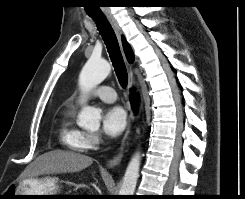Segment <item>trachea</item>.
<instances>
[{"mask_svg":"<svg viewBox=\"0 0 245 199\" xmlns=\"http://www.w3.org/2000/svg\"><path fill=\"white\" fill-rule=\"evenodd\" d=\"M91 18L105 42L118 81L125 88L128 83V74L114 30L104 15L91 16Z\"/></svg>","mask_w":245,"mask_h":199,"instance_id":"3493384b","label":"trachea"}]
</instances>
